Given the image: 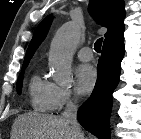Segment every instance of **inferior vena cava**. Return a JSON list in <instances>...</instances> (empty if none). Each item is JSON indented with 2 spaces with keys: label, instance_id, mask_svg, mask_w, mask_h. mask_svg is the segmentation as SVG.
<instances>
[{
  "label": "inferior vena cava",
  "instance_id": "602c4592",
  "mask_svg": "<svg viewBox=\"0 0 141 139\" xmlns=\"http://www.w3.org/2000/svg\"><path fill=\"white\" fill-rule=\"evenodd\" d=\"M61 117L65 119L71 125V130L74 133L76 139H82L83 135L80 129V125L77 121V105L71 99L68 100Z\"/></svg>",
  "mask_w": 141,
  "mask_h": 139
}]
</instances>
